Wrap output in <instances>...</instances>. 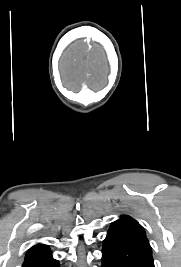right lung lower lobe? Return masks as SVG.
Instances as JSON below:
<instances>
[{"instance_id":"1","label":"right lung lower lobe","mask_w":181,"mask_h":267,"mask_svg":"<svg viewBox=\"0 0 181 267\" xmlns=\"http://www.w3.org/2000/svg\"><path fill=\"white\" fill-rule=\"evenodd\" d=\"M22 267H59L47 246L35 245L26 254Z\"/></svg>"}]
</instances>
